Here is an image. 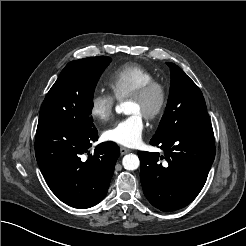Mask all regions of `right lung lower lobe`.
<instances>
[{"label":"right lung lower lobe","mask_w":246,"mask_h":246,"mask_svg":"<svg viewBox=\"0 0 246 246\" xmlns=\"http://www.w3.org/2000/svg\"><path fill=\"white\" fill-rule=\"evenodd\" d=\"M97 139L96 128L37 126L39 168L52 192L72 207L89 208L107 193L120 150L113 142H103L91 154V142Z\"/></svg>","instance_id":"right-lung-lower-lobe-1"}]
</instances>
